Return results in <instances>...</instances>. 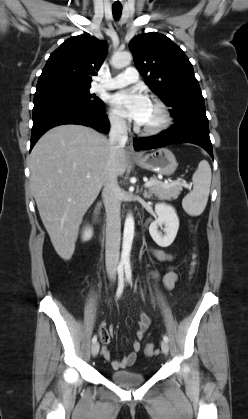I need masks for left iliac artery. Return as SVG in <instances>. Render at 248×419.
Returning a JSON list of instances; mask_svg holds the SVG:
<instances>
[{
	"instance_id": "44dca946",
	"label": "left iliac artery",
	"mask_w": 248,
	"mask_h": 419,
	"mask_svg": "<svg viewBox=\"0 0 248 419\" xmlns=\"http://www.w3.org/2000/svg\"><path fill=\"white\" fill-rule=\"evenodd\" d=\"M125 274H126V279L127 281L132 284V271H131V267L129 264H127L125 266ZM163 340H165L166 342L169 341L168 337L166 335H163Z\"/></svg>"
}]
</instances>
